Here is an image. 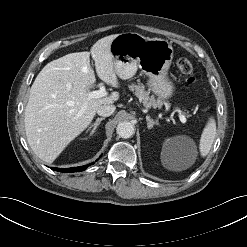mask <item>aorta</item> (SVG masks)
<instances>
[{"instance_id": "762f6f07", "label": "aorta", "mask_w": 247, "mask_h": 247, "mask_svg": "<svg viewBox=\"0 0 247 247\" xmlns=\"http://www.w3.org/2000/svg\"><path fill=\"white\" fill-rule=\"evenodd\" d=\"M116 132L121 138H130L134 134V125L128 121L120 122Z\"/></svg>"}]
</instances>
